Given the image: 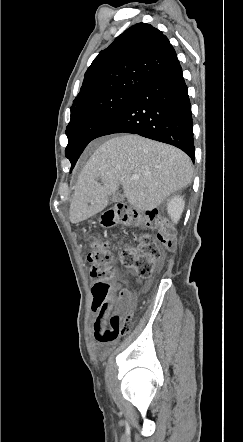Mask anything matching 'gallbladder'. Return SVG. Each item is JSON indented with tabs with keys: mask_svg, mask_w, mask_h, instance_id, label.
I'll return each mask as SVG.
<instances>
[{
	"mask_svg": "<svg viewBox=\"0 0 243 442\" xmlns=\"http://www.w3.org/2000/svg\"><path fill=\"white\" fill-rule=\"evenodd\" d=\"M113 201H122L124 199V195L120 193H115L111 198Z\"/></svg>",
	"mask_w": 243,
	"mask_h": 442,
	"instance_id": "gallbladder-1",
	"label": "gallbladder"
}]
</instances>
